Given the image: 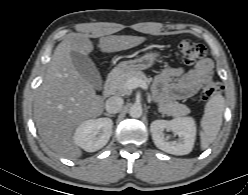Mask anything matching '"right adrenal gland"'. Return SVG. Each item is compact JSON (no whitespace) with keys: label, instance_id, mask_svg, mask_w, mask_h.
<instances>
[{"label":"right adrenal gland","instance_id":"obj_1","mask_svg":"<svg viewBox=\"0 0 248 195\" xmlns=\"http://www.w3.org/2000/svg\"><path fill=\"white\" fill-rule=\"evenodd\" d=\"M105 116H108V117H114L115 115L114 114H110V113H104Z\"/></svg>","mask_w":248,"mask_h":195}]
</instances>
